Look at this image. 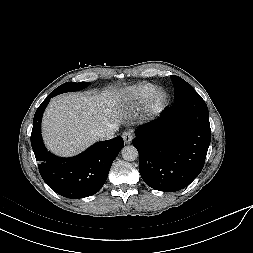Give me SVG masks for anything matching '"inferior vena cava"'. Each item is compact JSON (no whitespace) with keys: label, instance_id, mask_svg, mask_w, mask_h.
<instances>
[{"label":"inferior vena cava","instance_id":"inferior-vena-cava-1","mask_svg":"<svg viewBox=\"0 0 253 253\" xmlns=\"http://www.w3.org/2000/svg\"><path fill=\"white\" fill-rule=\"evenodd\" d=\"M118 125L110 124L106 128H100L94 130V135L97 136L99 139L106 140L111 139L114 137L115 133L118 131Z\"/></svg>","mask_w":253,"mask_h":253}]
</instances>
